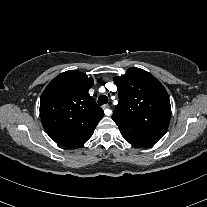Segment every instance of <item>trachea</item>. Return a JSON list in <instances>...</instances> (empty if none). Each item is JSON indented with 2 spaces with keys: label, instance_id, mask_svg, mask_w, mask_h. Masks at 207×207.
Instances as JSON below:
<instances>
[{
  "label": "trachea",
  "instance_id": "3493384b",
  "mask_svg": "<svg viewBox=\"0 0 207 207\" xmlns=\"http://www.w3.org/2000/svg\"><path fill=\"white\" fill-rule=\"evenodd\" d=\"M106 103H108V97L105 96V95L99 96V98H98V104L99 105H103V104H106Z\"/></svg>",
  "mask_w": 207,
  "mask_h": 207
}]
</instances>
